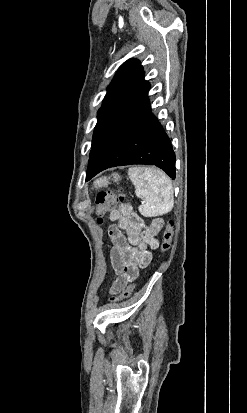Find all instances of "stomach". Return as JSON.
<instances>
[{"label":"stomach","mask_w":247,"mask_h":413,"mask_svg":"<svg viewBox=\"0 0 247 413\" xmlns=\"http://www.w3.org/2000/svg\"><path fill=\"white\" fill-rule=\"evenodd\" d=\"M110 180L118 182V180H121V176L118 172H113L110 176H100V178H96V180H94L92 188H104V186L111 184Z\"/></svg>","instance_id":"obj_1"}]
</instances>
